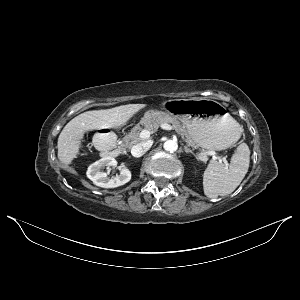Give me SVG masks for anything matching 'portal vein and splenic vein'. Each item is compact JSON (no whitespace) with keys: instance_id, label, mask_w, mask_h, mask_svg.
<instances>
[{"instance_id":"18ae733b","label":"portal vein and splenic vein","mask_w":300,"mask_h":300,"mask_svg":"<svg viewBox=\"0 0 300 300\" xmlns=\"http://www.w3.org/2000/svg\"><path fill=\"white\" fill-rule=\"evenodd\" d=\"M160 127H161L162 129H164V130H172V126L169 125V124H167V123L161 124ZM150 134H151V133H150L148 130H145V129H144V130H142L141 133H140V138H141L142 140H146V139H148V138L150 137ZM201 153H203V154H205V155H211V156H213V158H219L220 160H224L223 157L218 156L214 151H207V152H201ZM199 154H200V153H199Z\"/></svg>"}]
</instances>
